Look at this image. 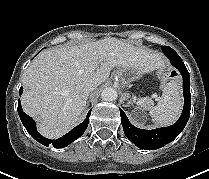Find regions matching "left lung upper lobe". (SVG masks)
I'll use <instances>...</instances> for the list:
<instances>
[{
  "mask_svg": "<svg viewBox=\"0 0 209 179\" xmlns=\"http://www.w3.org/2000/svg\"><path fill=\"white\" fill-rule=\"evenodd\" d=\"M162 50H163L164 54L167 53V52H172L173 51V49L168 47V46H162Z\"/></svg>",
  "mask_w": 209,
  "mask_h": 179,
  "instance_id": "left-lung-upper-lobe-1",
  "label": "left lung upper lobe"
}]
</instances>
